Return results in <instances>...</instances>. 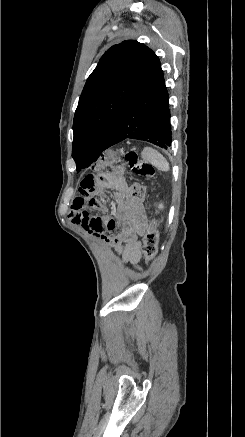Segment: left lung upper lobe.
<instances>
[{
  "label": "left lung upper lobe",
  "mask_w": 245,
  "mask_h": 437,
  "mask_svg": "<svg viewBox=\"0 0 245 437\" xmlns=\"http://www.w3.org/2000/svg\"><path fill=\"white\" fill-rule=\"evenodd\" d=\"M157 59L151 49L134 40L112 46L101 57L74 115L72 157L77 172L104 151L119 114Z\"/></svg>",
  "instance_id": "5c2ea615"
}]
</instances>
